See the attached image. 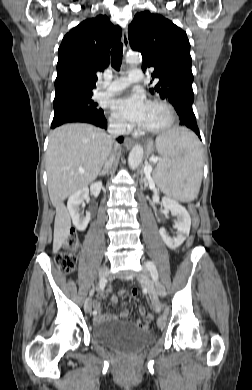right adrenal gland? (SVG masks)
Here are the masks:
<instances>
[{"label":"right adrenal gland","instance_id":"1","mask_svg":"<svg viewBox=\"0 0 252 390\" xmlns=\"http://www.w3.org/2000/svg\"><path fill=\"white\" fill-rule=\"evenodd\" d=\"M109 174V171L107 169H104L102 170L100 173H99V176H105V175H108Z\"/></svg>","mask_w":252,"mask_h":390}]
</instances>
